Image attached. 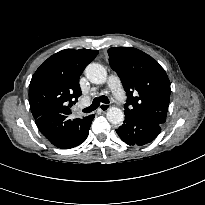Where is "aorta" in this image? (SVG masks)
<instances>
[{"instance_id": "aorta-1", "label": "aorta", "mask_w": 205, "mask_h": 205, "mask_svg": "<svg viewBox=\"0 0 205 205\" xmlns=\"http://www.w3.org/2000/svg\"><path fill=\"white\" fill-rule=\"evenodd\" d=\"M87 79L95 84H103L107 80L106 69L98 63H90L85 69ZM107 119L114 125L121 124L124 120V113L118 107H110L106 113Z\"/></svg>"}]
</instances>
